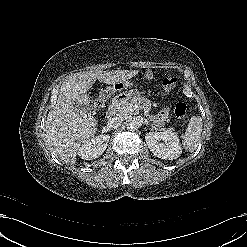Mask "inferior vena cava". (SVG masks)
<instances>
[{
	"mask_svg": "<svg viewBox=\"0 0 247 247\" xmlns=\"http://www.w3.org/2000/svg\"><path fill=\"white\" fill-rule=\"evenodd\" d=\"M121 124V119L119 117L109 118L106 127L108 129H115Z\"/></svg>",
	"mask_w": 247,
	"mask_h": 247,
	"instance_id": "1",
	"label": "inferior vena cava"
}]
</instances>
